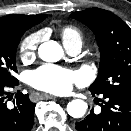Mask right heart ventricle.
Wrapping results in <instances>:
<instances>
[{
	"instance_id": "e07e8e85",
	"label": "right heart ventricle",
	"mask_w": 131,
	"mask_h": 131,
	"mask_svg": "<svg viewBox=\"0 0 131 131\" xmlns=\"http://www.w3.org/2000/svg\"><path fill=\"white\" fill-rule=\"evenodd\" d=\"M61 38L64 45L79 42L82 44L81 32L74 26H66L61 30Z\"/></svg>"
}]
</instances>
